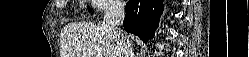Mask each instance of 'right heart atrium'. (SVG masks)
Here are the masks:
<instances>
[{"label": "right heart atrium", "instance_id": "d8ad5b80", "mask_svg": "<svg viewBox=\"0 0 249 57\" xmlns=\"http://www.w3.org/2000/svg\"><path fill=\"white\" fill-rule=\"evenodd\" d=\"M121 3L119 1L113 0H97L93 1V6L102 12H107L108 10L114 9Z\"/></svg>", "mask_w": 249, "mask_h": 57}]
</instances>
